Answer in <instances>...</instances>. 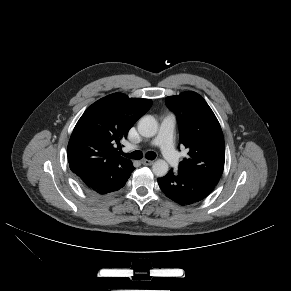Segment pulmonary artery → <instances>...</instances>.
<instances>
[{"label":"pulmonary artery","instance_id":"pulmonary-artery-1","mask_svg":"<svg viewBox=\"0 0 291 291\" xmlns=\"http://www.w3.org/2000/svg\"><path fill=\"white\" fill-rule=\"evenodd\" d=\"M176 118L173 114L166 115L161 122L157 136L151 141V145L158 146L165 160L172 166L178 167V155L173 147V131ZM136 148V147H135Z\"/></svg>","mask_w":291,"mask_h":291}]
</instances>
